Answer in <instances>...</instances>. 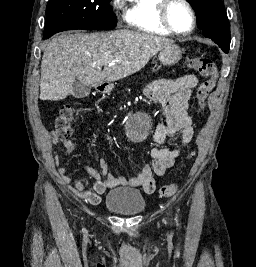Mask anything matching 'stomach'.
Returning <instances> with one entry per match:
<instances>
[{
    "mask_svg": "<svg viewBox=\"0 0 256 267\" xmlns=\"http://www.w3.org/2000/svg\"><path fill=\"white\" fill-rule=\"evenodd\" d=\"M182 58L181 48L176 44H167L159 52L158 60L163 66H174Z\"/></svg>",
    "mask_w": 256,
    "mask_h": 267,
    "instance_id": "obj_1",
    "label": "stomach"
}]
</instances>
